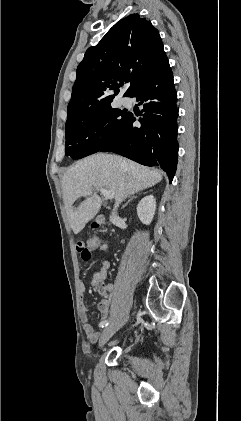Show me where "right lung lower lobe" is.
<instances>
[{
  "mask_svg": "<svg viewBox=\"0 0 241 421\" xmlns=\"http://www.w3.org/2000/svg\"><path fill=\"white\" fill-rule=\"evenodd\" d=\"M130 97H136L139 104H143L141 127L133 125L136 118L130 113L123 131L100 152H115L146 166H160L171 182L178 158V108L167 57Z\"/></svg>",
  "mask_w": 241,
  "mask_h": 421,
  "instance_id": "obj_1",
  "label": "right lung lower lobe"
}]
</instances>
